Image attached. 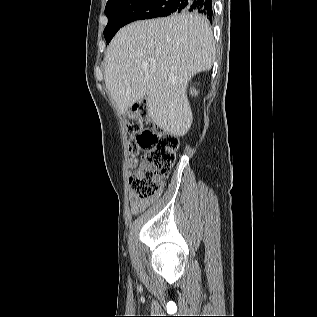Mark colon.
I'll return each mask as SVG.
<instances>
[{
  "mask_svg": "<svg viewBox=\"0 0 317 317\" xmlns=\"http://www.w3.org/2000/svg\"><path fill=\"white\" fill-rule=\"evenodd\" d=\"M130 165L135 173L130 178L133 196L140 201L156 197L162 179L169 173L176 158L179 140L146 119L145 108L136 105L127 117Z\"/></svg>",
  "mask_w": 317,
  "mask_h": 317,
  "instance_id": "colon-1",
  "label": "colon"
}]
</instances>
